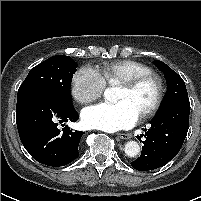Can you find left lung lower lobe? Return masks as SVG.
I'll return each instance as SVG.
<instances>
[{
  "instance_id": "1",
  "label": "left lung lower lobe",
  "mask_w": 201,
  "mask_h": 201,
  "mask_svg": "<svg viewBox=\"0 0 201 201\" xmlns=\"http://www.w3.org/2000/svg\"><path fill=\"white\" fill-rule=\"evenodd\" d=\"M190 103H176L159 110L145 129L142 153L131 162L136 170L157 169L180 151L189 128Z\"/></svg>"
}]
</instances>
